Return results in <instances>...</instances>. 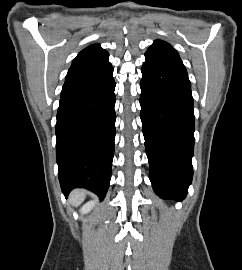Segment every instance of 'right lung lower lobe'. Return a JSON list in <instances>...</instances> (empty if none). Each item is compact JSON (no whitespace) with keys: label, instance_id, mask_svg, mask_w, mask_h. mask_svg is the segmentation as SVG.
I'll return each mask as SVG.
<instances>
[{"label":"right lung lower lobe","instance_id":"obj_1","mask_svg":"<svg viewBox=\"0 0 242 270\" xmlns=\"http://www.w3.org/2000/svg\"><path fill=\"white\" fill-rule=\"evenodd\" d=\"M115 81L109 61L61 91L56 123V158L65 196L86 188L102 200L108 190L115 139Z\"/></svg>","mask_w":242,"mask_h":270}]
</instances>
